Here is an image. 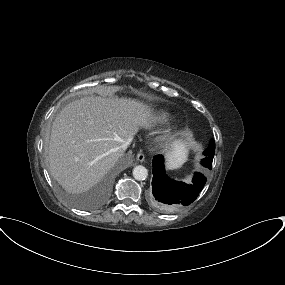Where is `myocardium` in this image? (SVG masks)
I'll return each mask as SVG.
<instances>
[{
  "label": "myocardium",
  "instance_id": "myocardium-1",
  "mask_svg": "<svg viewBox=\"0 0 285 285\" xmlns=\"http://www.w3.org/2000/svg\"><path fill=\"white\" fill-rule=\"evenodd\" d=\"M167 139H168V135H163V136L160 137L159 140H160L161 142H165Z\"/></svg>",
  "mask_w": 285,
  "mask_h": 285
}]
</instances>
